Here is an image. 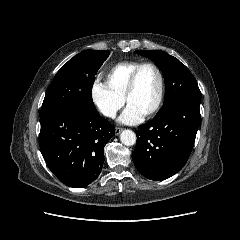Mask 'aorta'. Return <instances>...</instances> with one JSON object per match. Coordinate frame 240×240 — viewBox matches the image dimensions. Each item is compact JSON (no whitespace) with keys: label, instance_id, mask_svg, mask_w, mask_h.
<instances>
[{"label":"aorta","instance_id":"1","mask_svg":"<svg viewBox=\"0 0 240 240\" xmlns=\"http://www.w3.org/2000/svg\"><path fill=\"white\" fill-rule=\"evenodd\" d=\"M120 141L125 146H133L136 142V135L132 130H123L120 134Z\"/></svg>","mask_w":240,"mask_h":240}]
</instances>
